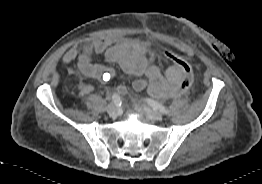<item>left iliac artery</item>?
Masks as SVG:
<instances>
[{"label": "left iliac artery", "mask_w": 262, "mask_h": 184, "mask_svg": "<svg viewBox=\"0 0 262 184\" xmlns=\"http://www.w3.org/2000/svg\"><path fill=\"white\" fill-rule=\"evenodd\" d=\"M147 101L154 109L159 110L163 114H168L169 113V110L167 108H165L164 106L160 105L158 102H156V101H154L152 99H148Z\"/></svg>", "instance_id": "44dca946"}]
</instances>
